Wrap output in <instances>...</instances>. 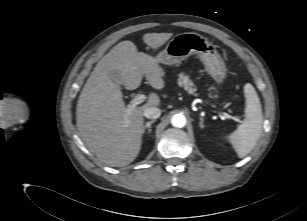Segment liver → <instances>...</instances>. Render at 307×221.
<instances>
[{
	"instance_id": "liver-1",
	"label": "liver",
	"mask_w": 307,
	"mask_h": 221,
	"mask_svg": "<svg viewBox=\"0 0 307 221\" xmlns=\"http://www.w3.org/2000/svg\"><path fill=\"white\" fill-rule=\"evenodd\" d=\"M171 37V33H147L143 41L155 50ZM112 71L120 75V84L111 79ZM144 75L152 87L163 88L165 71L155 57L138 52L131 41H122L97 63L80 93L76 110L79 135L108 166H126L135 160L142 144L143 112L161 103L152 92L144 105L127 114L119 85L134 90Z\"/></svg>"
}]
</instances>
